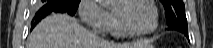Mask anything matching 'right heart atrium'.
<instances>
[{
    "label": "right heart atrium",
    "instance_id": "1",
    "mask_svg": "<svg viewBox=\"0 0 213 48\" xmlns=\"http://www.w3.org/2000/svg\"><path fill=\"white\" fill-rule=\"evenodd\" d=\"M78 10L82 21L94 32L99 34L108 32L112 20L111 12L104 8L99 1L82 0Z\"/></svg>",
    "mask_w": 213,
    "mask_h": 48
}]
</instances>
